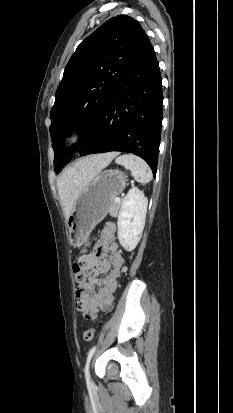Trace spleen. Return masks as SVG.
<instances>
[{"label":"spleen","mask_w":233,"mask_h":413,"mask_svg":"<svg viewBox=\"0 0 233 413\" xmlns=\"http://www.w3.org/2000/svg\"><path fill=\"white\" fill-rule=\"evenodd\" d=\"M115 162L129 170L135 180L146 184L152 179V171L149 165L140 157L133 154H124L116 158Z\"/></svg>","instance_id":"3e777b00"}]
</instances>
